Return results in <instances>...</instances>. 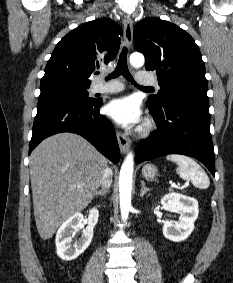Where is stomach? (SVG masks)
<instances>
[{
  "mask_svg": "<svg viewBox=\"0 0 233 283\" xmlns=\"http://www.w3.org/2000/svg\"><path fill=\"white\" fill-rule=\"evenodd\" d=\"M157 174V167L153 164H146L142 168V175L145 179H153L155 176H157Z\"/></svg>",
  "mask_w": 233,
  "mask_h": 283,
  "instance_id": "stomach-1",
  "label": "stomach"
}]
</instances>
